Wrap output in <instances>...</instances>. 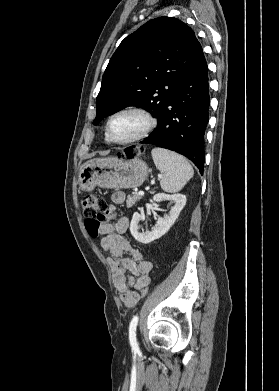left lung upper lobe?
<instances>
[{
    "instance_id": "left-lung-upper-lobe-1",
    "label": "left lung upper lobe",
    "mask_w": 279,
    "mask_h": 391,
    "mask_svg": "<svg viewBox=\"0 0 279 391\" xmlns=\"http://www.w3.org/2000/svg\"><path fill=\"white\" fill-rule=\"evenodd\" d=\"M201 54L194 31L182 21L172 17L148 21L127 36L111 57L93 124L132 104L159 119Z\"/></svg>"
}]
</instances>
